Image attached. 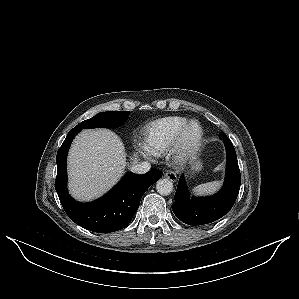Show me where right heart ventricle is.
<instances>
[{"instance_id": "e07e8e85", "label": "right heart ventricle", "mask_w": 299, "mask_h": 299, "mask_svg": "<svg viewBox=\"0 0 299 299\" xmlns=\"http://www.w3.org/2000/svg\"><path fill=\"white\" fill-rule=\"evenodd\" d=\"M188 121L186 117L170 116L149 124L144 136L146 150L154 156L165 154Z\"/></svg>"}]
</instances>
